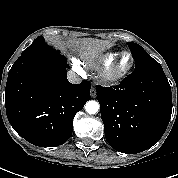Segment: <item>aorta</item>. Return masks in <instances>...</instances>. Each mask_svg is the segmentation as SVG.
I'll return each instance as SVG.
<instances>
[{
	"mask_svg": "<svg viewBox=\"0 0 178 178\" xmlns=\"http://www.w3.org/2000/svg\"><path fill=\"white\" fill-rule=\"evenodd\" d=\"M85 110L89 114H96L99 110V103L96 101H88L85 105Z\"/></svg>",
	"mask_w": 178,
	"mask_h": 178,
	"instance_id": "obj_1",
	"label": "aorta"
}]
</instances>
